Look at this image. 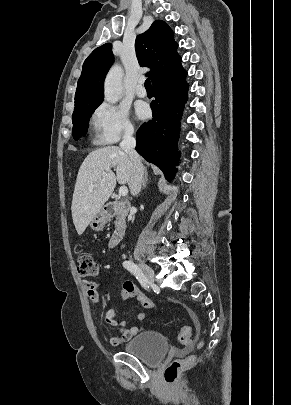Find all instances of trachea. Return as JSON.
Masks as SVG:
<instances>
[{"mask_svg": "<svg viewBox=\"0 0 291 405\" xmlns=\"http://www.w3.org/2000/svg\"><path fill=\"white\" fill-rule=\"evenodd\" d=\"M145 87L146 89H152V85L149 78H147L145 81Z\"/></svg>", "mask_w": 291, "mask_h": 405, "instance_id": "3493384b", "label": "trachea"}]
</instances>
